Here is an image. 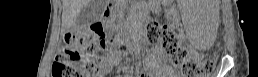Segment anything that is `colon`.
<instances>
[{"instance_id": "colon-1", "label": "colon", "mask_w": 258, "mask_h": 77, "mask_svg": "<svg viewBox=\"0 0 258 77\" xmlns=\"http://www.w3.org/2000/svg\"><path fill=\"white\" fill-rule=\"evenodd\" d=\"M145 38L148 42L159 44L179 67L185 77H205L214 69V62L201 60L189 53L180 38L167 25L152 22L146 27ZM117 52L120 45L110 39L108 31L98 27L93 34L80 35L68 33L61 51L52 65V77H88L100 64L99 51Z\"/></svg>"}]
</instances>
